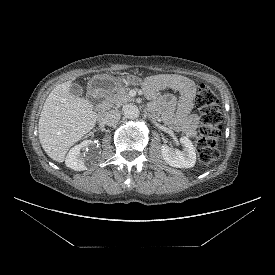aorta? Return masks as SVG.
<instances>
[{"mask_svg": "<svg viewBox=\"0 0 275 275\" xmlns=\"http://www.w3.org/2000/svg\"><path fill=\"white\" fill-rule=\"evenodd\" d=\"M122 111L124 116L128 119H136L140 114L138 107L134 104L125 105Z\"/></svg>", "mask_w": 275, "mask_h": 275, "instance_id": "obj_1", "label": "aorta"}]
</instances>
